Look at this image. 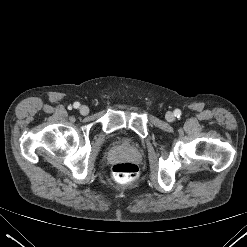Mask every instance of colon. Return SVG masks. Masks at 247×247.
Instances as JSON below:
<instances>
[{"label":"colon","instance_id":"colon-1","mask_svg":"<svg viewBox=\"0 0 247 247\" xmlns=\"http://www.w3.org/2000/svg\"><path fill=\"white\" fill-rule=\"evenodd\" d=\"M137 165L130 162L117 163L112 168L114 179L122 184L130 183L138 177Z\"/></svg>","mask_w":247,"mask_h":247}]
</instances>
